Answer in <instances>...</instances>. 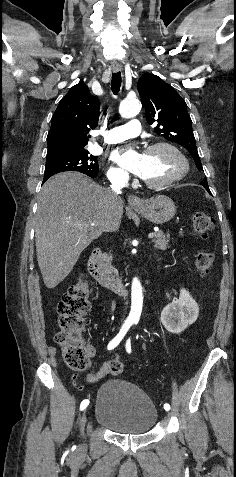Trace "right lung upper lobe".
Wrapping results in <instances>:
<instances>
[{
	"label": "right lung upper lobe",
	"mask_w": 236,
	"mask_h": 477,
	"mask_svg": "<svg viewBox=\"0 0 236 477\" xmlns=\"http://www.w3.org/2000/svg\"><path fill=\"white\" fill-rule=\"evenodd\" d=\"M99 107L98 98L85 83L68 91L52 117L46 161L76 153L87 145L89 131L98 124Z\"/></svg>",
	"instance_id": "obj_1"
}]
</instances>
